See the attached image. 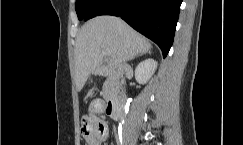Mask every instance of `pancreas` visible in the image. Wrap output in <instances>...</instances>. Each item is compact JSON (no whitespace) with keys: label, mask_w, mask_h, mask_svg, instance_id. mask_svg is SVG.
Returning a JSON list of instances; mask_svg holds the SVG:
<instances>
[{"label":"pancreas","mask_w":243,"mask_h":145,"mask_svg":"<svg viewBox=\"0 0 243 145\" xmlns=\"http://www.w3.org/2000/svg\"><path fill=\"white\" fill-rule=\"evenodd\" d=\"M115 89H116V85H115L114 78L111 74H109L106 82L104 83V87H103L104 97L106 98L107 95L111 91H115Z\"/></svg>","instance_id":"1"}]
</instances>
